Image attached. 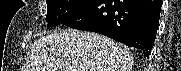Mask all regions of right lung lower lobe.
<instances>
[{"instance_id": "1", "label": "right lung lower lobe", "mask_w": 181, "mask_h": 71, "mask_svg": "<svg viewBox=\"0 0 181 71\" xmlns=\"http://www.w3.org/2000/svg\"><path fill=\"white\" fill-rule=\"evenodd\" d=\"M161 6L162 0H94L62 24L106 35L129 47L141 49L149 57Z\"/></svg>"}]
</instances>
